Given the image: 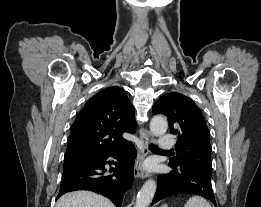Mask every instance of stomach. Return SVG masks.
I'll return each instance as SVG.
<instances>
[{
	"label": "stomach",
	"mask_w": 261,
	"mask_h": 207,
	"mask_svg": "<svg viewBox=\"0 0 261 207\" xmlns=\"http://www.w3.org/2000/svg\"><path fill=\"white\" fill-rule=\"evenodd\" d=\"M161 207H168L166 204L162 205Z\"/></svg>",
	"instance_id": "1"
}]
</instances>
